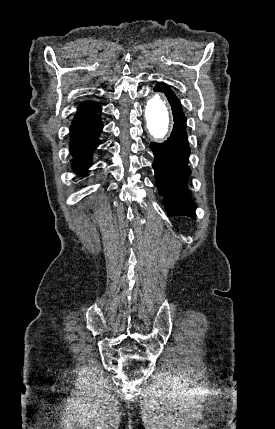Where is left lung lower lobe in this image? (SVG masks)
I'll return each mask as SVG.
<instances>
[{
	"mask_svg": "<svg viewBox=\"0 0 275 429\" xmlns=\"http://www.w3.org/2000/svg\"><path fill=\"white\" fill-rule=\"evenodd\" d=\"M155 91H162L168 97L174 118V127L170 138L164 143H151L154 153L152 167L155 181L168 216H189L194 218L195 205L187 189V179L191 170L187 166L190 148L186 133V117L181 103L174 93L163 83Z\"/></svg>",
	"mask_w": 275,
	"mask_h": 429,
	"instance_id": "0a47b994",
	"label": "left lung lower lobe"
}]
</instances>
